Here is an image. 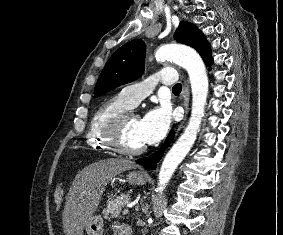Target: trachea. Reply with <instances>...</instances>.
<instances>
[{
  "label": "trachea",
  "instance_id": "trachea-1",
  "mask_svg": "<svg viewBox=\"0 0 283 235\" xmlns=\"http://www.w3.org/2000/svg\"><path fill=\"white\" fill-rule=\"evenodd\" d=\"M182 90V85L180 83L176 84L173 88L172 91L176 93H180Z\"/></svg>",
  "mask_w": 283,
  "mask_h": 235
}]
</instances>
